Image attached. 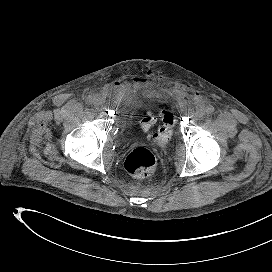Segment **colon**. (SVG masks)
Returning <instances> with one entry per match:
<instances>
[{
    "label": "colon",
    "mask_w": 272,
    "mask_h": 272,
    "mask_svg": "<svg viewBox=\"0 0 272 272\" xmlns=\"http://www.w3.org/2000/svg\"><path fill=\"white\" fill-rule=\"evenodd\" d=\"M162 125L158 131L152 135V139L159 143H165L169 140L172 132L174 116L166 111L163 114ZM154 123L150 116L142 120V128L148 131ZM125 168L133 176L144 178L150 176L156 168V158L152 152L144 147H138L132 150L125 159Z\"/></svg>",
    "instance_id": "colon-1"
}]
</instances>
